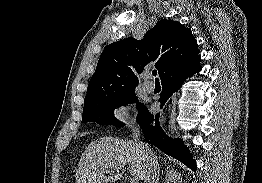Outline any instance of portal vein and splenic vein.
<instances>
[{"mask_svg":"<svg viewBox=\"0 0 262 183\" xmlns=\"http://www.w3.org/2000/svg\"><path fill=\"white\" fill-rule=\"evenodd\" d=\"M131 183H139V179L137 177H133L131 179Z\"/></svg>","mask_w":262,"mask_h":183,"instance_id":"obj_1","label":"portal vein and splenic vein"}]
</instances>
